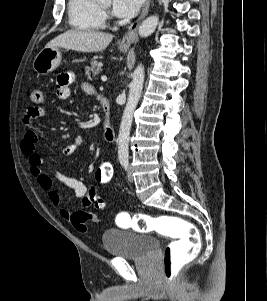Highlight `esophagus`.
<instances>
[{"mask_svg":"<svg viewBox=\"0 0 267 301\" xmlns=\"http://www.w3.org/2000/svg\"><path fill=\"white\" fill-rule=\"evenodd\" d=\"M150 3L151 0H147L146 4L143 7V10L140 14V16L138 17V19L133 22L130 27L128 28L127 32L125 33V35L123 36L122 40L120 41L119 45L121 47H130L132 44H134L135 42H137L138 40V34H137V30H138V26L141 23V21L146 17V15L148 14L149 11V7H150Z\"/></svg>","mask_w":267,"mask_h":301,"instance_id":"obj_1","label":"esophagus"}]
</instances>
